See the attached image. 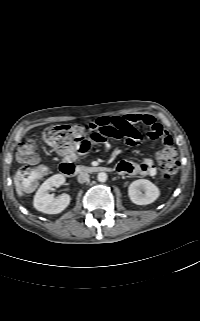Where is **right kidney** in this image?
Listing matches in <instances>:
<instances>
[{"label": "right kidney", "instance_id": "1", "mask_svg": "<svg viewBox=\"0 0 200 321\" xmlns=\"http://www.w3.org/2000/svg\"><path fill=\"white\" fill-rule=\"evenodd\" d=\"M65 182V177L61 174H56L48 178L37 190L33 205L36 210L46 214H58L61 213L70 204V196L68 194H62L58 198H54L49 191L53 187H60Z\"/></svg>", "mask_w": 200, "mask_h": 321}]
</instances>
